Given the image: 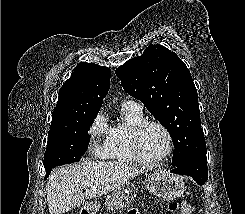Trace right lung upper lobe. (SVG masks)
I'll use <instances>...</instances> for the list:
<instances>
[{"mask_svg":"<svg viewBox=\"0 0 245 214\" xmlns=\"http://www.w3.org/2000/svg\"><path fill=\"white\" fill-rule=\"evenodd\" d=\"M110 87V69L81 62L59 90L48 135L68 129L87 113L99 112Z\"/></svg>","mask_w":245,"mask_h":214,"instance_id":"cb5924a9","label":"right lung upper lobe"}]
</instances>
